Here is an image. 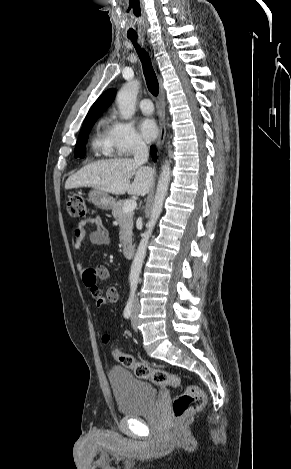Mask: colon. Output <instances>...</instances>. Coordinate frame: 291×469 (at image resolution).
I'll return each mask as SVG.
<instances>
[{"label":"colon","instance_id":"1","mask_svg":"<svg viewBox=\"0 0 291 469\" xmlns=\"http://www.w3.org/2000/svg\"><path fill=\"white\" fill-rule=\"evenodd\" d=\"M67 211L71 217H85L87 207L84 199L76 194L71 195L67 202ZM94 303L98 309L106 306V301L101 296H96ZM103 341L107 343L109 341L108 336H104ZM111 354L122 366L131 369L139 379L150 380L159 386L179 387L181 384V379L178 375L161 369H152L147 364L136 361L132 355L121 352L117 348H112ZM204 404L205 395L203 391L195 385H189L174 398L172 413L176 419H180L202 408Z\"/></svg>","mask_w":291,"mask_h":469}]
</instances>
